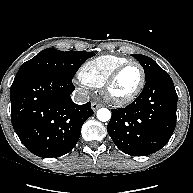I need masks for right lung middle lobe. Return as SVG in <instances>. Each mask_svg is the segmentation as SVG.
Here are the masks:
<instances>
[{"instance_id":"1","label":"right lung middle lobe","mask_w":193,"mask_h":193,"mask_svg":"<svg viewBox=\"0 0 193 193\" xmlns=\"http://www.w3.org/2000/svg\"><path fill=\"white\" fill-rule=\"evenodd\" d=\"M94 55L84 51L63 52L48 48L22 64L15 78L30 74H46L72 81L73 75L82 63Z\"/></svg>"}]
</instances>
